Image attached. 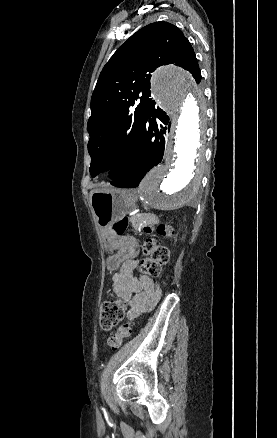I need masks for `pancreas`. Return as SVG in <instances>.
Masks as SVG:
<instances>
[{
    "mask_svg": "<svg viewBox=\"0 0 277 438\" xmlns=\"http://www.w3.org/2000/svg\"><path fill=\"white\" fill-rule=\"evenodd\" d=\"M158 217L155 214H132L130 216V219L127 220V225L132 226L134 223H139V226H137V231L142 232L144 231V227L148 226V223H155L157 222Z\"/></svg>",
    "mask_w": 277,
    "mask_h": 438,
    "instance_id": "cf45deb5",
    "label": "pancreas"
}]
</instances>
